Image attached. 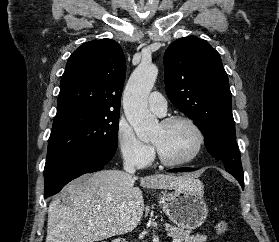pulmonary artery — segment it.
Masks as SVG:
<instances>
[{
	"mask_svg": "<svg viewBox=\"0 0 279 242\" xmlns=\"http://www.w3.org/2000/svg\"><path fill=\"white\" fill-rule=\"evenodd\" d=\"M148 106L153 112L163 116L167 110V101L161 93L155 91L148 98Z\"/></svg>",
	"mask_w": 279,
	"mask_h": 242,
	"instance_id": "e3ab8cb5",
	"label": "pulmonary artery"
}]
</instances>
